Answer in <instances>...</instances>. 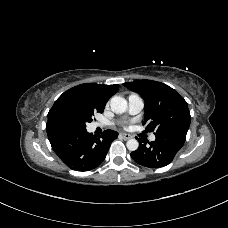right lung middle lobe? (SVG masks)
<instances>
[{
	"label": "right lung middle lobe",
	"instance_id": "obj_1",
	"mask_svg": "<svg viewBox=\"0 0 228 228\" xmlns=\"http://www.w3.org/2000/svg\"><path fill=\"white\" fill-rule=\"evenodd\" d=\"M96 112L102 113L103 110H95L78 100L67 99L54 103L48 113V120L54 126L86 130V123L92 121Z\"/></svg>",
	"mask_w": 228,
	"mask_h": 228
}]
</instances>
